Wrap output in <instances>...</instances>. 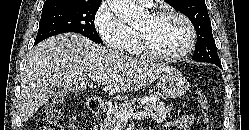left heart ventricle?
Instances as JSON below:
<instances>
[{"label":"left heart ventricle","instance_id":"b2bd125f","mask_svg":"<svg viewBox=\"0 0 249 130\" xmlns=\"http://www.w3.org/2000/svg\"><path fill=\"white\" fill-rule=\"evenodd\" d=\"M137 28L147 33L152 47L157 52L166 55L181 51L189 38L184 22L174 16L153 20L146 15Z\"/></svg>","mask_w":249,"mask_h":130}]
</instances>
